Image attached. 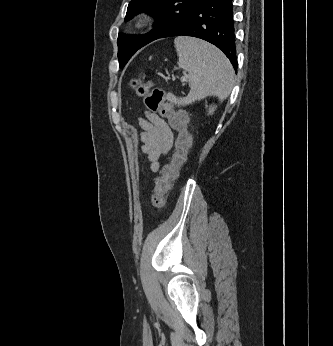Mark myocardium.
I'll return each mask as SVG.
<instances>
[{"mask_svg":"<svg viewBox=\"0 0 333 346\" xmlns=\"http://www.w3.org/2000/svg\"><path fill=\"white\" fill-rule=\"evenodd\" d=\"M151 21V17L147 13L140 14L134 21L133 27L135 29H143L145 28Z\"/></svg>","mask_w":333,"mask_h":346,"instance_id":"myocardium-1","label":"myocardium"}]
</instances>
